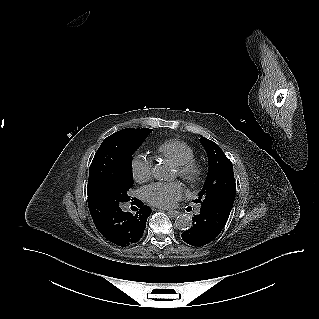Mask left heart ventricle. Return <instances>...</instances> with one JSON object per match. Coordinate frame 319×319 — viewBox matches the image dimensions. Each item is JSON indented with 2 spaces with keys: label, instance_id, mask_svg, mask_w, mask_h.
<instances>
[{
  "label": "left heart ventricle",
  "instance_id": "left-heart-ventricle-1",
  "mask_svg": "<svg viewBox=\"0 0 319 319\" xmlns=\"http://www.w3.org/2000/svg\"><path fill=\"white\" fill-rule=\"evenodd\" d=\"M176 176H179L178 170L176 169Z\"/></svg>",
  "mask_w": 319,
  "mask_h": 319
}]
</instances>
